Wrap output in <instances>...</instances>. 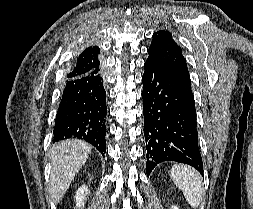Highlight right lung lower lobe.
Returning <instances> with one entry per match:
<instances>
[{"mask_svg":"<svg viewBox=\"0 0 253 209\" xmlns=\"http://www.w3.org/2000/svg\"><path fill=\"white\" fill-rule=\"evenodd\" d=\"M106 92L101 71L67 80L57 111L53 142L77 138L106 151Z\"/></svg>","mask_w":253,"mask_h":209,"instance_id":"obj_1","label":"right lung lower lobe"}]
</instances>
